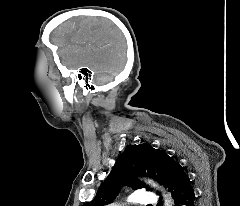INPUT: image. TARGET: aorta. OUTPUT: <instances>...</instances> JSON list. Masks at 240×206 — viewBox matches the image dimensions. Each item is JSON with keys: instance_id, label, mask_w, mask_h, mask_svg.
Masks as SVG:
<instances>
[{"instance_id": "762f6f07", "label": "aorta", "mask_w": 240, "mask_h": 206, "mask_svg": "<svg viewBox=\"0 0 240 206\" xmlns=\"http://www.w3.org/2000/svg\"><path fill=\"white\" fill-rule=\"evenodd\" d=\"M149 183H151V181H149ZM153 186L158 187V185H156L154 183H153ZM161 191H163V190H161ZM163 196H164V199H165V206H172L173 201H172L171 196L165 194L164 192H163Z\"/></svg>"}]
</instances>
